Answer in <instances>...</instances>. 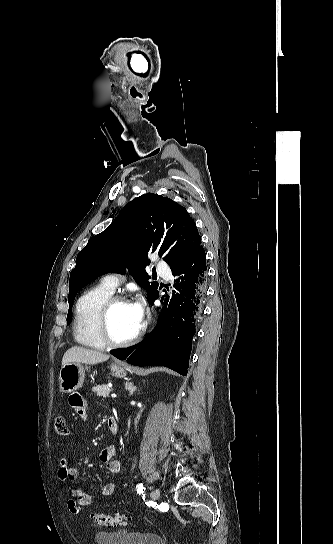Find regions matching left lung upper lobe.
Segmentation results:
<instances>
[{
    "label": "left lung upper lobe",
    "mask_w": 333,
    "mask_h": 544,
    "mask_svg": "<svg viewBox=\"0 0 333 544\" xmlns=\"http://www.w3.org/2000/svg\"><path fill=\"white\" fill-rule=\"evenodd\" d=\"M201 245L193 219L184 207L170 198L148 193L125 205L102 233L92 237L77 255L70 274L69 311L78 289L108 271L127 267L147 292L149 301L159 293L158 283L149 282L145 267L148 254L157 252L171 270L184 264Z\"/></svg>",
    "instance_id": "obj_1"
}]
</instances>
